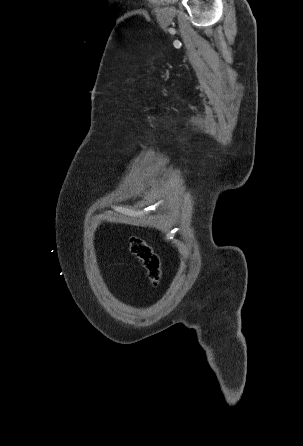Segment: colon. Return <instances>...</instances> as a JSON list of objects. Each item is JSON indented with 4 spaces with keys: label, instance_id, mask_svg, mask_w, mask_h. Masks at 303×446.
<instances>
[{
    "label": "colon",
    "instance_id": "colon-1",
    "mask_svg": "<svg viewBox=\"0 0 303 446\" xmlns=\"http://www.w3.org/2000/svg\"><path fill=\"white\" fill-rule=\"evenodd\" d=\"M131 253L141 262L146 270L150 284L157 287L162 277L161 260L148 242L139 237L132 236L129 240Z\"/></svg>",
    "mask_w": 303,
    "mask_h": 446
}]
</instances>
